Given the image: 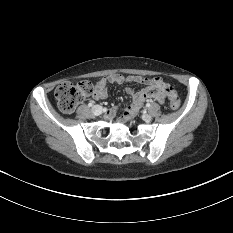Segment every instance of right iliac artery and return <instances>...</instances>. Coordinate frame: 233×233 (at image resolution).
Here are the masks:
<instances>
[{"label":"right iliac artery","mask_w":233,"mask_h":233,"mask_svg":"<svg viewBox=\"0 0 233 233\" xmlns=\"http://www.w3.org/2000/svg\"><path fill=\"white\" fill-rule=\"evenodd\" d=\"M93 104H94L93 102H90V103L88 104V106H89V107H92Z\"/></svg>","instance_id":"1"}]
</instances>
